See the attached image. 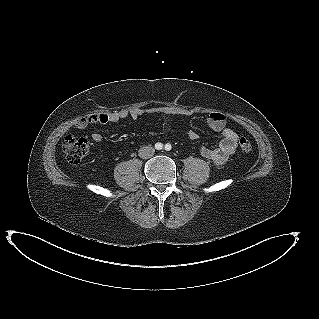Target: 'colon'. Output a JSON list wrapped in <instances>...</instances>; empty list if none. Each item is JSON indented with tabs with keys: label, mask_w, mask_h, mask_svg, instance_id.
Listing matches in <instances>:
<instances>
[{
	"label": "colon",
	"mask_w": 319,
	"mask_h": 319,
	"mask_svg": "<svg viewBox=\"0 0 319 319\" xmlns=\"http://www.w3.org/2000/svg\"><path fill=\"white\" fill-rule=\"evenodd\" d=\"M239 146L244 152H250L252 149V143L246 138L239 140ZM62 149L69 163L78 164L87 155L89 143L83 137L68 135L63 141Z\"/></svg>",
	"instance_id": "1"
}]
</instances>
